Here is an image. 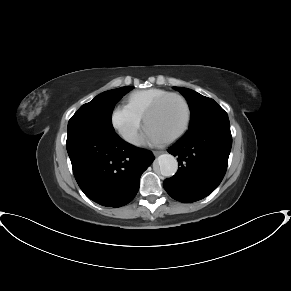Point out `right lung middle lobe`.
<instances>
[{"label": "right lung middle lobe", "mask_w": 291, "mask_h": 291, "mask_svg": "<svg viewBox=\"0 0 291 291\" xmlns=\"http://www.w3.org/2000/svg\"><path fill=\"white\" fill-rule=\"evenodd\" d=\"M133 87H121L103 92L92 101L82 105L68 122V131L89 129L102 132H114L112 112L120 98Z\"/></svg>", "instance_id": "dd1d6c3e"}]
</instances>
